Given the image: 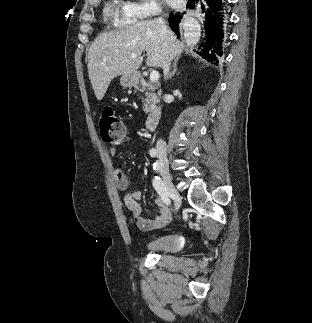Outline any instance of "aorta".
<instances>
[{
    "label": "aorta",
    "instance_id": "obj_1",
    "mask_svg": "<svg viewBox=\"0 0 312 323\" xmlns=\"http://www.w3.org/2000/svg\"><path fill=\"white\" fill-rule=\"evenodd\" d=\"M184 36L187 46H193V44H197V42H199L200 34H193V32L185 30Z\"/></svg>",
    "mask_w": 312,
    "mask_h": 323
}]
</instances>
